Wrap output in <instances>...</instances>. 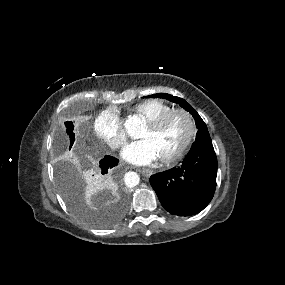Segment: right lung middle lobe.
Segmentation results:
<instances>
[{
	"label": "right lung middle lobe",
	"mask_w": 285,
	"mask_h": 285,
	"mask_svg": "<svg viewBox=\"0 0 285 285\" xmlns=\"http://www.w3.org/2000/svg\"><path fill=\"white\" fill-rule=\"evenodd\" d=\"M65 126L67 137L63 133H59L56 136V150L59 152L65 149L64 159L57 164V182L60 192L69 208L80 218L96 227H108L119 218L116 217L113 221H106L90 216L85 209L82 199L83 180L87 177V174L92 172H96L97 176H99L98 167L89 172H87L88 169H82L75 147L71 150L75 141L73 123L65 122Z\"/></svg>",
	"instance_id": "dd1d6c3e"
}]
</instances>
